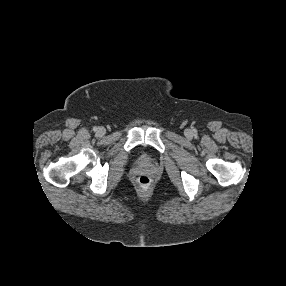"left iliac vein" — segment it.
Here are the masks:
<instances>
[{
	"mask_svg": "<svg viewBox=\"0 0 286 286\" xmlns=\"http://www.w3.org/2000/svg\"><path fill=\"white\" fill-rule=\"evenodd\" d=\"M185 134L187 137H190V136H192V131L188 129V130H186Z\"/></svg>",
	"mask_w": 286,
	"mask_h": 286,
	"instance_id": "4c4485c4",
	"label": "left iliac vein"
}]
</instances>
